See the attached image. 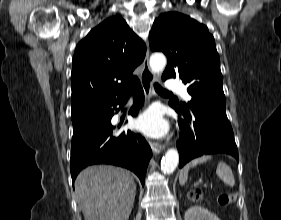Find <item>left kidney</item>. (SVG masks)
<instances>
[{"instance_id": "left-kidney-1", "label": "left kidney", "mask_w": 281, "mask_h": 220, "mask_svg": "<svg viewBox=\"0 0 281 220\" xmlns=\"http://www.w3.org/2000/svg\"><path fill=\"white\" fill-rule=\"evenodd\" d=\"M185 220H220L215 214L201 206L190 207L185 212Z\"/></svg>"}]
</instances>
